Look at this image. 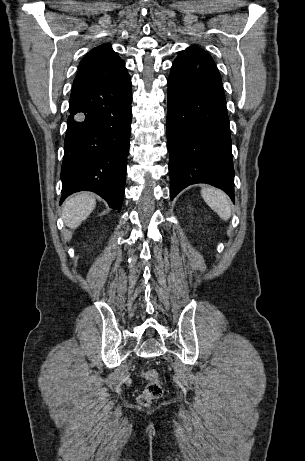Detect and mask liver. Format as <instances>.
Listing matches in <instances>:
<instances>
[{"instance_id":"1","label":"liver","mask_w":305,"mask_h":461,"mask_svg":"<svg viewBox=\"0 0 305 461\" xmlns=\"http://www.w3.org/2000/svg\"><path fill=\"white\" fill-rule=\"evenodd\" d=\"M95 207L96 200L89 193L83 192L69 198L65 201L62 212L66 226L72 229L77 228L87 219Z\"/></svg>"}]
</instances>
